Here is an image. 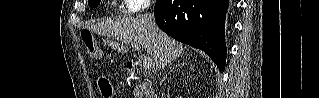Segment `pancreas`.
Returning a JSON list of instances; mask_svg holds the SVG:
<instances>
[{"instance_id": "cf45deb5", "label": "pancreas", "mask_w": 319, "mask_h": 98, "mask_svg": "<svg viewBox=\"0 0 319 98\" xmlns=\"http://www.w3.org/2000/svg\"><path fill=\"white\" fill-rule=\"evenodd\" d=\"M152 91V86L148 80V76L145 75L143 82L139 84V87L135 89L134 95L136 98H143V95H148Z\"/></svg>"}]
</instances>
